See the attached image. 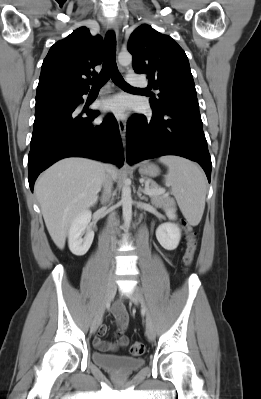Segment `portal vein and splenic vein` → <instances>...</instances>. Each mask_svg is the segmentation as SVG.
<instances>
[{"instance_id":"obj_1","label":"portal vein and splenic vein","mask_w":261,"mask_h":399,"mask_svg":"<svg viewBox=\"0 0 261 399\" xmlns=\"http://www.w3.org/2000/svg\"><path fill=\"white\" fill-rule=\"evenodd\" d=\"M148 183H149V181L147 182V184H148ZM143 191H144L146 194H148V195H153V194L156 193L155 191L151 190V189L148 187V185L145 186V188H144ZM164 192H165L164 189H160L158 193H164Z\"/></svg>"}]
</instances>
